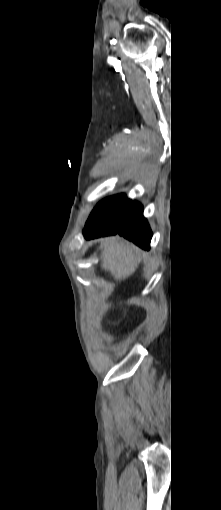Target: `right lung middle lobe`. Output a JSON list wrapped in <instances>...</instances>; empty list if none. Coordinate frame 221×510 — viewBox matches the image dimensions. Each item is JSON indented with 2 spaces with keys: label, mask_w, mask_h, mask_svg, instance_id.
Wrapping results in <instances>:
<instances>
[{
  "label": "right lung middle lobe",
  "mask_w": 221,
  "mask_h": 510,
  "mask_svg": "<svg viewBox=\"0 0 221 510\" xmlns=\"http://www.w3.org/2000/svg\"><path fill=\"white\" fill-rule=\"evenodd\" d=\"M129 201L130 200L122 194L113 196L101 201L94 210L102 216L117 220L124 215Z\"/></svg>",
  "instance_id": "right-lung-middle-lobe-1"
}]
</instances>
